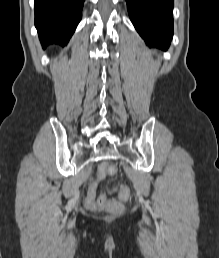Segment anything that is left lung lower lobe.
I'll return each mask as SVG.
<instances>
[{
    "mask_svg": "<svg viewBox=\"0 0 219 258\" xmlns=\"http://www.w3.org/2000/svg\"><path fill=\"white\" fill-rule=\"evenodd\" d=\"M130 19L149 47L167 50L173 36L174 0H126Z\"/></svg>",
    "mask_w": 219,
    "mask_h": 258,
    "instance_id": "0a47b994",
    "label": "left lung lower lobe"
}]
</instances>
